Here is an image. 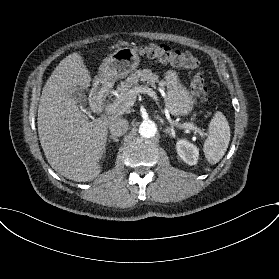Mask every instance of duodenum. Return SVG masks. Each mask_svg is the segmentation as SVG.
<instances>
[{
    "instance_id": "1",
    "label": "duodenum",
    "mask_w": 279,
    "mask_h": 279,
    "mask_svg": "<svg viewBox=\"0 0 279 279\" xmlns=\"http://www.w3.org/2000/svg\"><path fill=\"white\" fill-rule=\"evenodd\" d=\"M104 95H105V85L103 82L99 81L93 86L90 95V105L93 111L100 112L102 110Z\"/></svg>"
}]
</instances>
